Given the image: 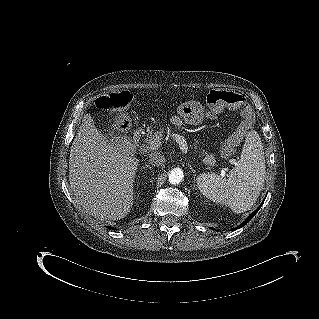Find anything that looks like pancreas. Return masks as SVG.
<instances>
[{"label":"pancreas","instance_id":"obj_1","mask_svg":"<svg viewBox=\"0 0 319 319\" xmlns=\"http://www.w3.org/2000/svg\"><path fill=\"white\" fill-rule=\"evenodd\" d=\"M157 135H159V142L155 144L153 141L155 140ZM146 136L147 138L144 140V143H145L144 147L147 150L159 147L161 145V142H160L161 136L159 133H154L153 129L147 128ZM202 156H203L202 161L204 165L207 166L208 168L216 165L215 155L213 153L205 152Z\"/></svg>","mask_w":319,"mask_h":319}]
</instances>
